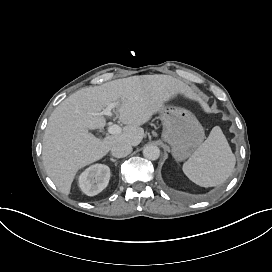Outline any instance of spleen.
Instances as JSON below:
<instances>
[{
	"mask_svg": "<svg viewBox=\"0 0 272 272\" xmlns=\"http://www.w3.org/2000/svg\"><path fill=\"white\" fill-rule=\"evenodd\" d=\"M234 166L235 156L221 129L216 126L183 163L182 170L195 184L212 187L222 184L232 174Z\"/></svg>",
	"mask_w": 272,
	"mask_h": 272,
	"instance_id": "spleen-1",
	"label": "spleen"
}]
</instances>
